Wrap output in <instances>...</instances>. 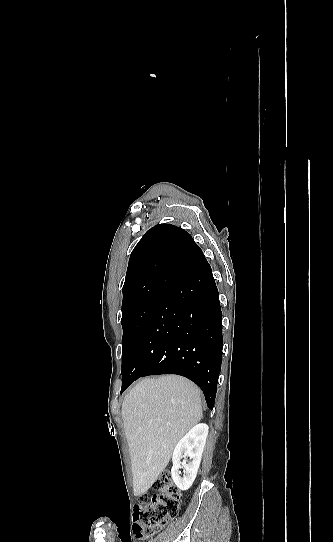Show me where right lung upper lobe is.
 Masks as SVG:
<instances>
[{
	"label": "right lung upper lobe",
	"mask_w": 333,
	"mask_h": 542,
	"mask_svg": "<svg viewBox=\"0 0 333 542\" xmlns=\"http://www.w3.org/2000/svg\"><path fill=\"white\" fill-rule=\"evenodd\" d=\"M170 248L190 253L201 251L191 235L177 226L158 224L152 227L131 253L123 285L122 309L154 294L168 293L187 275L161 259V252Z\"/></svg>",
	"instance_id": "cb5924a9"
}]
</instances>
